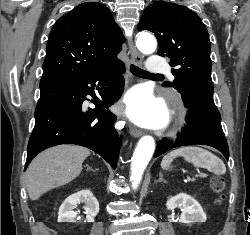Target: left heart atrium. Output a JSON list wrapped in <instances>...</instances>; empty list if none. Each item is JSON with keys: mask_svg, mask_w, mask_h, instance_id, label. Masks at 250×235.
I'll list each match as a JSON object with an SVG mask.
<instances>
[{"mask_svg": "<svg viewBox=\"0 0 250 235\" xmlns=\"http://www.w3.org/2000/svg\"><path fill=\"white\" fill-rule=\"evenodd\" d=\"M128 117L139 125L160 128L167 122L168 113L165 105L145 89L131 90L125 99Z\"/></svg>", "mask_w": 250, "mask_h": 235, "instance_id": "1", "label": "left heart atrium"}]
</instances>
